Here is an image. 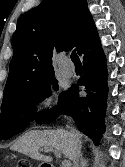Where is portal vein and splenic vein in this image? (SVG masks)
Instances as JSON below:
<instances>
[{"label": "portal vein and splenic vein", "instance_id": "18ae733b", "mask_svg": "<svg viewBox=\"0 0 125 167\" xmlns=\"http://www.w3.org/2000/svg\"><path fill=\"white\" fill-rule=\"evenodd\" d=\"M44 151L46 152H54V154L56 155V157H61V153L59 150H54L53 148L51 147H44ZM71 166V162L69 160H64L62 162V167H70Z\"/></svg>", "mask_w": 125, "mask_h": 167}]
</instances>
